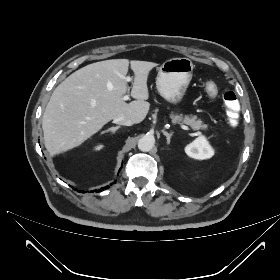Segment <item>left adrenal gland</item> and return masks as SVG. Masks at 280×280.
I'll use <instances>...</instances> for the list:
<instances>
[{"label": "left adrenal gland", "instance_id": "a2214340", "mask_svg": "<svg viewBox=\"0 0 280 280\" xmlns=\"http://www.w3.org/2000/svg\"><path fill=\"white\" fill-rule=\"evenodd\" d=\"M162 133L166 136L167 144H170V140H171V137H172V135H173V132L168 133V132H166L165 130H162Z\"/></svg>", "mask_w": 280, "mask_h": 280}]
</instances>
